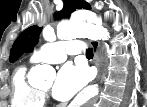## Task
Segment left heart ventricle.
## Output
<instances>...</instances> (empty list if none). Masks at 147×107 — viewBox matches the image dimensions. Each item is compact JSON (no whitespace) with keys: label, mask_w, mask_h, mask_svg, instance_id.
<instances>
[{"label":"left heart ventricle","mask_w":147,"mask_h":107,"mask_svg":"<svg viewBox=\"0 0 147 107\" xmlns=\"http://www.w3.org/2000/svg\"><path fill=\"white\" fill-rule=\"evenodd\" d=\"M51 86H52V82L46 84V85L43 87V90L48 91V90L51 88Z\"/></svg>","instance_id":"obj_1"}]
</instances>
